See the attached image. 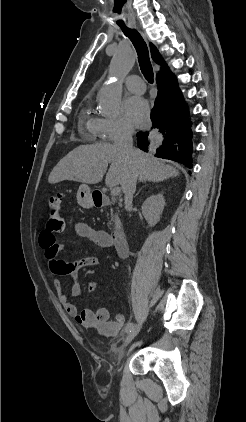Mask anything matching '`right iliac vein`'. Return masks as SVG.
<instances>
[{
    "label": "right iliac vein",
    "instance_id": "obj_1",
    "mask_svg": "<svg viewBox=\"0 0 246 422\" xmlns=\"http://www.w3.org/2000/svg\"><path fill=\"white\" fill-rule=\"evenodd\" d=\"M140 329H141V323H137L133 325L130 333L128 334L125 340L124 346H128L133 341V339L136 337Z\"/></svg>",
    "mask_w": 246,
    "mask_h": 422
}]
</instances>
